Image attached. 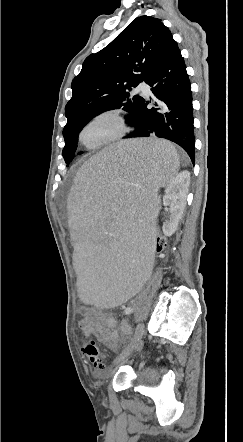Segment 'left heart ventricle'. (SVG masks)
<instances>
[{
  "instance_id": "obj_1",
  "label": "left heart ventricle",
  "mask_w": 243,
  "mask_h": 442,
  "mask_svg": "<svg viewBox=\"0 0 243 442\" xmlns=\"http://www.w3.org/2000/svg\"><path fill=\"white\" fill-rule=\"evenodd\" d=\"M117 131V123L111 118L99 119L91 123L83 133V141L86 144H96L107 139Z\"/></svg>"
}]
</instances>
